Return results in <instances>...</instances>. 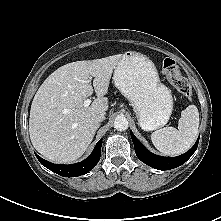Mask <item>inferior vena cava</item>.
<instances>
[{
    "label": "inferior vena cava",
    "instance_id": "obj_1",
    "mask_svg": "<svg viewBox=\"0 0 221 221\" xmlns=\"http://www.w3.org/2000/svg\"><path fill=\"white\" fill-rule=\"evenodd\" d=\"M95 119L97 122H102L105 120V113L98 114Z\"/></svg>",
    "mask_w": 221,
    "mask_h": 221
}]
</instances>
